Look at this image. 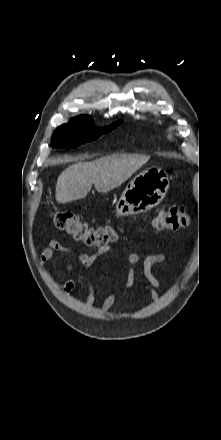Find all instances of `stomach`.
I'll use <instances>...</instances> for the list:
<instances>
[{
    "label": "stomach",
    "mask_w": 221,
    "mask_h": 440,
    "mask_svg": "<svg viewBox=\"0 0 221 440\" xmlns=\"http://www.w3.org/2000/svg\"><path fill=\"white\" fill-rule=\"evenodd\" d=\"M170 177L159 167H150L136 175L116 204L119 216L144 213L157 206L169 190Z\"/></svg>",
    "instance_id": "obj_1"
}]
</instances>
